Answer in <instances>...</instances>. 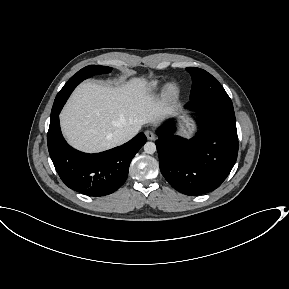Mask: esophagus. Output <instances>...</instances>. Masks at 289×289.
<instances>
[{
  "mask_svg": "<svg viewBox=\"0 0 289 289\" xmlns=\"http://www.w3.org/2000/svg\"><path fill=\"white\" fill-rule=\"evenodd\" d=\"M145 135H146L148 140H155V138H156L155 133L151 130H146Z\"/></svg>",
  "mask_w": 289,
  "mask_h": 289,
  "instance_id": "1",
  "label": "esophagus"
}]
</instances>
